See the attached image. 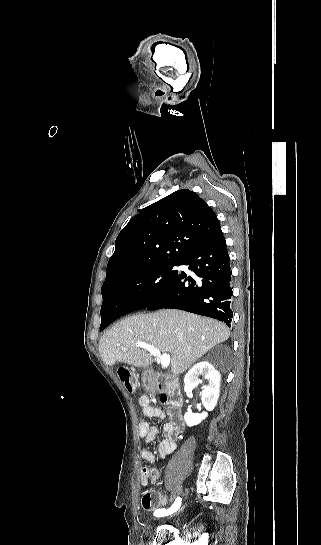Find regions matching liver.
I'll list each match as a JSON object with an SVG mask.
<instances>
[{"label": "liver", "instance_id": "liver-1", "mask_svg": "<svg viewBox=\"0 0 321 545\" xmlns=\"http://www.w3.org/2000/svg\"><path fill=\"white\" fill-rule=\"evenodd\" d=\"M230 331L224 323L193 313L162 309L148 315L126 317L106 331L99 341L101 357L108 367L127 363L146 369L153 359L137 343H148L161 353H170L173 375H181L212 347L227 341Z\"/></svg>", "mask_w": 321, "mask_h": 545}]
</instances>
